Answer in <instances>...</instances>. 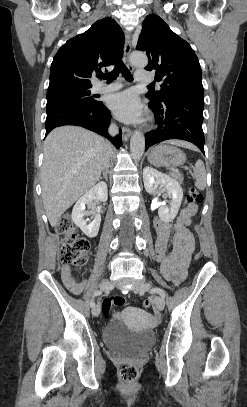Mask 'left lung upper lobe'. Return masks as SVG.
Returning a JSON list of instances; mask_svg holds the SVG:
<instances>
[{
    "label": "left lung upper lobe",
    "instance_id": "left-lung-upper-lobe-1",
    "mask_svg": "<svg viewBox=\"0 0 247 407\" xmlns=\"http://www.w3.org/2000/svg\"><path fill=\"white\" fill-rule=\"evenodd\" d=\"M137 50L145 51L148 71H155L161 89L148 92L152 104H162L172 95H191L204 98L201 68L190 45L176 35L155 14L148 15L142 24Z\"/></svg>",
    "mask_w": 247,
    "mask_h": 407
}]
</instances>
